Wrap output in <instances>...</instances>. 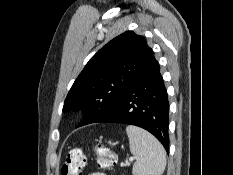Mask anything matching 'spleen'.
Returning <instances> with one entry per match:
<instances>
[{
    "mask_svg": "<svg viewBox=\"0 0 233 175\" xmlns=\"http://www.w3.org/2000/svg\"><path fill=\"white\" fill-rule=\"evenodd\" d=\"M126 132L130 151L136 159L133 175H162L166 167V153L161 143L137 126H127Z\"/></svg>",
    "mask_w": 233,
    "mask_h": 175,
    "instance_id": "1",
    "label": "spleen"
}]
</instances>
